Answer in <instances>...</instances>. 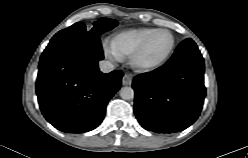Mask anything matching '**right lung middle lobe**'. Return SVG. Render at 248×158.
Masks as SVG:
<instances>
[{
    "label": "right lung middle lobe",
    "instance_id": "obj_1",
    "mask_svg": "<svg viewBox=\"0 0 248 158\" xmlns=\"http://www.w3.org/2000/svg\"><path fill=\"white\" fill-rule=\"evenodd\" d=\"M117 25L118 22L114 19L100 18L98 21L93 23V28L90 31H87L86 26L83 23L77 22L72 26L59 31L57 34H80L88 32L90 34L100 35L113 29Z\"/></svg>",
    "mask_w": 248,
    "mask_h": 158
}]
</instances>
